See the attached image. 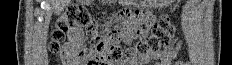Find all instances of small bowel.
Returning a JSON list of instances; mask_svg holds the SVG:
<instances>
[{"instance_id":"1","label":"small bowel","mask_w":232,"mask_h":65,"mask_svg":"<svg viewBox=\"0 0 232 65\" xmlns=\"http://www.w3.org/2000/svg\"><path fill=\"white\" fill-rule=\"evenodd\" d=\"M153 15V12H118L116 20L122 17V20L133 21V23H125V26H123V23H116V20H112V17H109V20H106V31L109 32H104V37H117V40H121V43L125 45H136L137 40H140V37H147V34L150 33V28L154 27ZM68 37L69 41L64 45L65 62L77 64L78 52L85 45L83 32L81 29L72 28L68 31ZM181 46L182 41L175 39L161 51L139 57L133 61L110 62L108 65H171L176 59ZM175 64L186 65L181 61Z\"/></svg>"}]
</instances>
